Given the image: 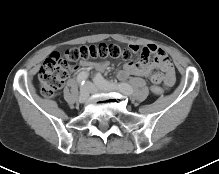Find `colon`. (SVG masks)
I'll list each match as a JSON object with an SVG mask.
<instances>
[{"label":"colon","instance_id":"5ec220e1","mask_svg":"<svg viewBox=\"0 0 219 174\" xmlns=\"http://www.w3.org/2000/svg\"><path fill=\"white\" fill-rule=\"evenodd\" d=\"M132 51L115 43H100L98 45L71 48L63 53H52L43 63L39 74V84L43 95L53 97L62 88L72 65L95 58H115L129 60ZM151 92L154 96H161L163 88L153 85Z\"/></svg>","mask_w":219,"mask_h":174}]
</instances>
